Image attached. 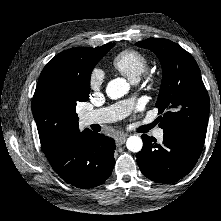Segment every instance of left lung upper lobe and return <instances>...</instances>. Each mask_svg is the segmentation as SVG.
Segmentation results:
<instances>
[{"mask_svg": "<svg viewBox=\"0 0 221 221\" xmlns=\"http://www.w3.org/2000/svg\"><path fill=\"white\" fill-rule=\"evenodd\" d=\"M159 58L163 78L156 107L159 127L204 143L210 102L200 69L186 50L167 39L149 38L136 43Z\"/></svg>", "mask_w": 221, "mask_h": 221, "instance_id": "left-lung-upper-lobe-1", "label": "left lung upper lobe"}]
</instances>
